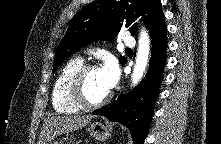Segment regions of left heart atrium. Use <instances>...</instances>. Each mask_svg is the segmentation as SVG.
Here are the masks:
<instances>
[{
  "label": "left heart atrium",
  "instance_id": "39dd6f15",
  "mask_svg": "<svg viewBox=\"0 0 221 144\" xmlns=\"http://www.w3.org/2000/svg\"><path fill=\"white\" fill-rule=\"evenodd\" d=\"M100 73L105 87L111 90L119 79V68L115 59L108 58L100 68Z\"/></svg>",
  "mask_w": 221,
  "mask_h": 144
}]
</instances>
